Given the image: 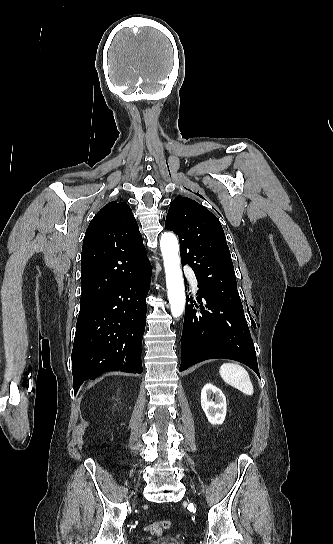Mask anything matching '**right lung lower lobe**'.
<instances>
[{
    "label": "right lung lower lobe",
    "mask_w": 333,
    "mask_h": 544,
    "mask_svg": "<svg viewBox=\"0 0 333 544\" xmlns=\"http://www.w3.org/2000/svg\"><path fill=\"white\" fill-rule=\"evenodd\" d=\"M150 263L108 294L80 307L72 351L74 393L108 371L142 373Z\"/></svg>",
    "instance_id": "right-lung-lower-lobe-1"
}]
</instances>
